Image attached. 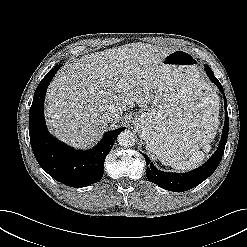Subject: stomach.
Instances as JSON below:
<instances>
[{
	"label": "stomach",
	"mask_w": 247,
	"mask_h": 247,
	"mask_svg": "<svg viewBox=\"0 0 247 247\" xmlns=\"http://www.w3.org/2000/svg\"><path fill=\"white\" fill-rule=\"evenodd\" d=\"M161 64L167 72L165 83L151 107L136 116L135 127L147 150L170 165L213 138L219 102L193 54L176 49Z\"/></svg>",
	"instance_id": "obj_1"
}]
</instances>
